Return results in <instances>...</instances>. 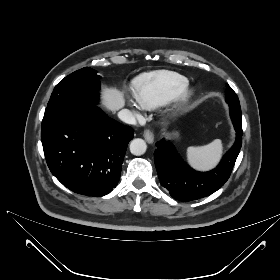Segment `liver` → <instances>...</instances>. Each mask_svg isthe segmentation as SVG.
Here are the masks:
<instances>
[{"label": "liver", "mask_w": 280, "mask_h": 280, "mask_svg": "<svg viewBox=\"0 0 280 280\" xmlns=\"http://www.w3.org/2000/svg\"><path fill=\"white\" fill-rule=\"evenodd\" d=\"M102 105L107 110L116 112L125 105L123 93L116 88H105L102 91Z\"/></svg>", "instance_id": "1"}]
</instances>
